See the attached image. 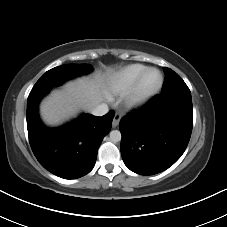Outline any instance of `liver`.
Returning a JSON list of instances; mask_svg holds the SVG:
<instances>
[{
  "label": "liver",
  "instance_id": "liver-1",
  "mask_svg": "<svg viewBox=\"0 0 227 227\" xmlns=\"http://www.w3.org/2000/svg\"><path fill=\"white\" fill-rule=\"evenodd\" d=\"M106 91L104 77L82 78L69 82L63 90L54 91L41 105V115L47 124L55 125L74 116L79 109L92 110Z\"/></svg>",
  "mask_w": 227,
  "mask_h": 227
}]
</instances>
